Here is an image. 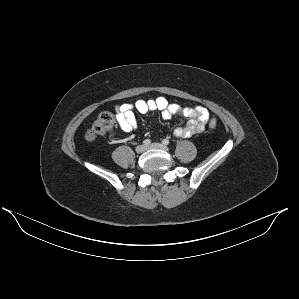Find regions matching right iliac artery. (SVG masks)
<instances>
[{
  "instance_id": "82829eb1",
  "label": "right iliac artery",
  "mask_w": 299,
  "mask_h": 299,
  "mask_svg": "<svg viewBox=\"0 0 299 299\" xmlns=\"http://www.w3.org/2000/svg\"><path fill=\"white\" fill-rule=\"evenodd\" d=\"M150 143H151V140H149V139H145L143 141V144L146 145V146H148Z\"/></svg>"
}]
</instances>
